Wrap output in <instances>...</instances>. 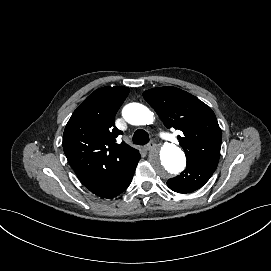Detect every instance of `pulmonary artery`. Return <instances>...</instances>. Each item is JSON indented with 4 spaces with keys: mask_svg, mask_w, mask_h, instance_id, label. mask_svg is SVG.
<instances>
[{
    "mask_svg": "<svg viewBox=\"0 0 271 271\" xmlns=\"http://www.w3.org/2000/svg\"><path fill=\"white\" fill-rule=\"evenodd\" d=\"M156 133L158 134V137L161 138L163 141H168V142H171L172 141V138L171 137H166L165 134H164V130L163 129H157L156 130Z\"/></svg>",
    "mask_w": 271,
    "mask_h": 271,
    "instance_id": "pulmonary-artery-1",
    "label": "pulmonary artery"
}]
</instances>
